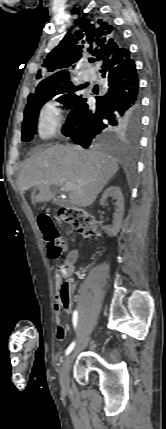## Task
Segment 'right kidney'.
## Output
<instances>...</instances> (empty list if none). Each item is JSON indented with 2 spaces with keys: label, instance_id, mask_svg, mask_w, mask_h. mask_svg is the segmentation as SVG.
<instances>
[{
  "label": "right kidney",
  "instance_id": "obj_1",
  "mask_svg": "<svg viewBox=\"0 0 166 429\" xmlns=\"http://www.w3.org/2000/svg\"><path fill=\"white\" fill-rule=\"evenodd\" d=\"M108 197H112L114 200H116V209L113 214V225L105 227L106 233L110 237H113L117 235L120 228L122 227L124 215V198L121 189L118 186L108 187L102 194L100 204L103 205L107 201Z\"/></svg>",
  "mask_w": 166,
  "mask_h": 429
}]
</instances>
